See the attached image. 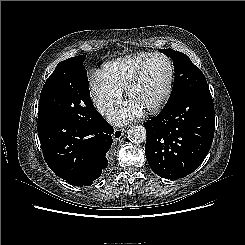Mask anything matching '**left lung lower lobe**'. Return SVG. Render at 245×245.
<instances>
[{
  "label": "left lung lower lobe",
  "instance_id": "left-lung-lower-lobe-1",
  "mask_svg": "<svg viewBox=\"0 0 245 245\" xmlns=\"http://www.w3.org/2000/svg\"><path fill=\"white\" fill-rule=\"evenodd\" d=\"M144 126L151 169L165 179L189 175L204 161L214 137L215 111L209 88L186 93Z\"/></svg>",
  "mask_w": 245,
  "mask_h": 245
}]
</instances>
